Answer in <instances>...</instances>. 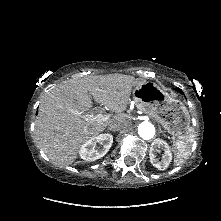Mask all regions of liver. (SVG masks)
Segmentation results:
<instances>
[{
    "label": "liver",
    "instance_id": "liver-1",
    "mask_svg": "<svg viewBox=\"0 0 221 221\" xmlns=\"http://www.w3.org/2000/svg\"><path fill=\"white\" fill-rule=\"evenodd\" d=\"M144 82L146 80L130 75L108 74L69 80L53 88L43 97L35 121L39 146L53 163L72 164L83 143L111 123H128L124 111L132 88ZM89 92L97 103L115 115L104 121L85 120L82 115L93 105Z\"/></svg>",
    "mask_w": 221,
    "mask_h": 221
}]
</instances>
